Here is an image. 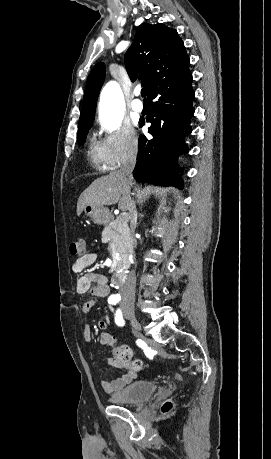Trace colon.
<instances>
[{"mask_svg":"<svg viewBox=\"0 0 271 459\" xmlns=\"http://www.w3.org/2000/svg\"><path fill=\"white\" fill-rule=\"evenodd\" d=\"M86 242L84 237L76 238L70 245V252L72 255L82 256L85 253ZM115 356L126 366L135 371H140L143 368V363L139 359L132 358V350L125 345L115 348ZM173 404L165 402L162 406L163 413H169L172 410Z\"/></svg>","mask_w":271,"mask_h":459,"instance_id":"5ec220e1","label":"colon"}]
</instances>
